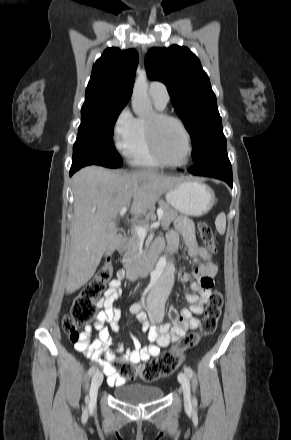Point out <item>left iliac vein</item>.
I'll use <instances>...</instances> for the list:
<instances>
[{"label":"left iliac vein","instance_id":"1","mask_svg":"<svg viewBox=\"0 0 291 440\" xmlns=\"http://www.w3.org/2000/svg\"><path fill=\"white\" fill-rule=\"evenodd\" d=\"M178 381L181 383L183 388L184 399L186 403L190 402V381L188 375L184 372L178 374Z\"/></svg>","mask_w":291,"mask_h":440}]
</instances>
